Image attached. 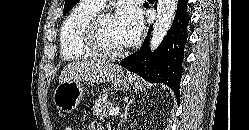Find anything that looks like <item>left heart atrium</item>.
<instances>
[{
  "label": "left heart atrium",
  "instance_id": "39dd6f15",
  "mask_svg": "<svg viewBox=\"0 0 249 130\" xmlns=\"http://www.w3.org/2000/svg\"><path fill=\"white\" fill-rule=\"evenodd\" d=\"M114 17L125 45L135 43L144 27L142 11L133 2L125 1L118 6Z\"/></svg>",
  "mask_w": 249,
  "mask_h": 130
}]
</instances>
